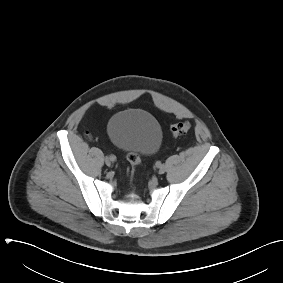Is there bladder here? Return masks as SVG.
Here are the masks:
<instances>
[{"instance_id":"1","label":"bladder","mask_w":283,"mask_h":283,"mask_svg":"<svg viewBox=\"0 0 283 283\" xmlns=\"http://www.w3.org/2000/svg\"><path fill=\"white\" fill-rule=\"evenodd\" d=\"M107 133L118 148L144 156L156 153L163 137L158 120L142 109H126L113 115Z\"/></svg>"}]
</instances>
